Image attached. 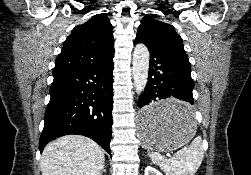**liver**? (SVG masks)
Instances as JSON below:
<instances>
[{"mask_svg": "<svg viewBox=\"0 0 251 175\" xmlns=\"http://www.w3.org/2000/svg\"><path fill=\"white\" fill-rule=\"evenodd\" d=\"M103 149L90 137L63 135L50 141L40 159L42 175H101Z\"/></svg>", "mask_w": 251, "mask_h": 175, "instance_id": "6515ba94", "label": "liver"}]
</instances>
